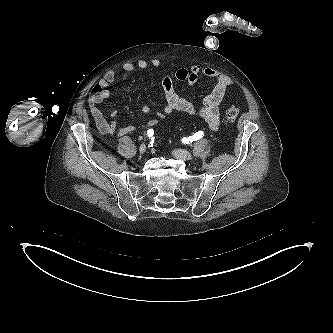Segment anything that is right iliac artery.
I'll list each match as a JSON object with an SVG mask.
<instances>
[{
    "label": "right iliac artery",
    "instance_id": "82829eb1",
    "mask_svg": "<svg viewBox=\"0 0 333 333\" xmlns=\"http://www.w3.org/2000/svg\"><path fill=\"white\" fill-rule=\"evenodd\" d=\"M147 135H148V137H152L154 135V130L153 129H149L147 131Z\"/></svg>",
    "mask_w": 333,
    "mask_h": 333
}]
</instances>
